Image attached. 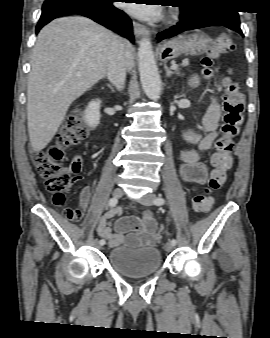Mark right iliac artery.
Masks as SVG:
<instances>
[{"label": "right iliac artery", "mask_w": 270, "mask_h": 338, "mask_svg": "<svg viewBox=\"0 0 270 338\" xmlns=\"http://www.w3.org/2000/svg\"><path fill=\"white\" fill-rule=\"evenodd\" d=\"M117 203H118V199L117 198L113 197V198H111L109 200V206H111V207H114ZM99 243H100V245H104L105 244V240L101 239Z\"/></svg>", "instance_id": "82829eb1"}]
</instances>
